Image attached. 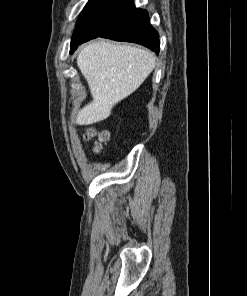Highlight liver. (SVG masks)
I'll list each match as a JSON object with an SVG mask.
<instances>
[{
	"instance_id": "6515ba94",
	"label": "liver",
	"mask_w": 247,
	"mask_h": 296,
	"mask_svg": "<svg viewBox=\"0 0 247 296\" xmlns=\"http://www.w3.org/2000/svg\"><path fill=\"white\" fill-rule=\"evenodd\" d=\"M148 50L99 40L85 46L77 66L86 79L93 100L81 109L75 122L91 125L108 118L113 107L137 90L155 67Z\"/></svg>"
}]
</instances>
